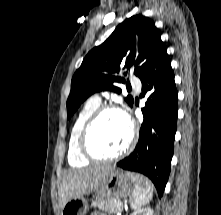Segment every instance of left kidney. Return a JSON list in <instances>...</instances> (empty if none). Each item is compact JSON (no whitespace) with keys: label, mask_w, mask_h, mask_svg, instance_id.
I'll use <instances>...</instances> for the list:
<instances>
[{"label":"left kidney","mask_w":221,"mask_h":215,"mask_svg":"<svg viewBox=\"0 0 221 215\" xmlns=\"http://www.w3.org/2000/svg\"><path fill=\"white\" fill-rule=\"evenodd\" d=\"M130 215H153V210L149 207L136 210Z\"/></svg>","instance_id":"5707ae66"}]
</instances>
